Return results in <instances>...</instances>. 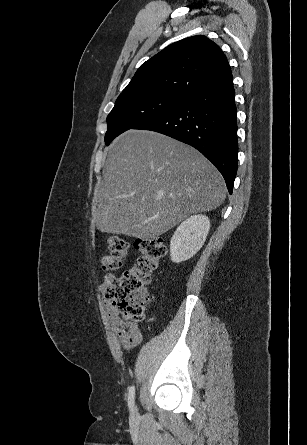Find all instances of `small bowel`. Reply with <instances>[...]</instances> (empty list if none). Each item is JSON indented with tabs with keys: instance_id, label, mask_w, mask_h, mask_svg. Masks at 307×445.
<instances>
[{
	"instance_id": "1",
	"label": "small bowel",
	"mask_w": 307,
	"mask_h": 445,
	"mask_svg": "<svg viewBox=\"0 0 307 445\" xmlns=\"http://www.w3.org/2000/svg\"><path fill=\"white\" fill-rule=\"evenodd\" d=\"M115 278L116 277L114 274H107L104 277L103 282L100 284L99 290L102 293H106L109 284ZM105 303L108 308L107 317L113 331L116 333L118 340L121 342L126 351L135 348L141 340V332L138 326L134 323L124 320L120 316L119 312L111 306L107 298L105 300Z\"/></svg>"
}]
</instances>
